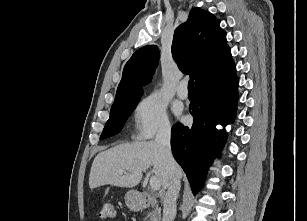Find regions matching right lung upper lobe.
<instances>
[{"instance_id": "cb5924a9", "label": "right lung upper lobe", "mask_w": 307, "mask_h": 221, "mask_svg": "<svg viewBox=\"0 0 307 221\" xmlns=\"http://www.w3.org/2000/svg\"><path fill=\"white\" fill-rule=\"evenodd\" d=\"M210 12L193 8L188 20L179 25L172 42V55L182 72L195 79L196 91L223 84L236 77L235 64L227 45L226 32ZM155 45L138 49L126 63L115 102L142 94L157 67Z\"/></svg>"}]
</instances>
